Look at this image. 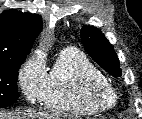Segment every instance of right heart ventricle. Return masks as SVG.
<instances>
[{
	"mask_svg": "<svg viewBox=\"0 0 142 119\" xmlns=\"http://www.w3.org/2000/svg\"><path fill=\"white\" fill-rule=\"evenodd\" d=\"M107 84L104 74L75 47L65 48L47 72L41 93L45 106L79 115L99 110L89 100L93 86Z\"/></svg>",
	"mask_w": 142,
	"mask_h": 119,
	"instance_id": "obj_1",
	"label": "right heart ventricle"
}]
</instances>
